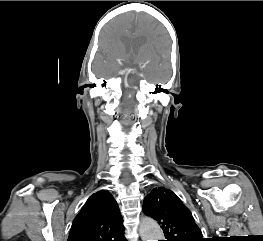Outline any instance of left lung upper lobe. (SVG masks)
<instances>
[{
  "label": "left lung upper lobe",
  "mask_w": 263,
  "mask_h": 241,
  "mask_svg": "<svg viewBox=\"0 0 263 241\" xmlns=\"http://www.w3.org/2000/svg\"><path fill=\"white\" fill-rule=\"evenodd\" d=\"M143 210L161 225L166 241H204L190 210L171 190L154 188L145 197Z\"/></svg>",
  "instance_id": "obj_1"
}]
</instances>
